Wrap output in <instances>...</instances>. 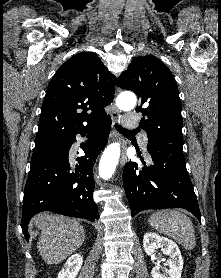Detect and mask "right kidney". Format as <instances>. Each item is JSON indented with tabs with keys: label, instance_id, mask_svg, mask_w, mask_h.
I'll use <instances>...</instances> for the list:
<instances>
[{
	"label": "right kidney",
	"instance_id": "ca27d5eb",
	"mask_svg": "<svg viewBox=\"0 0 221 278\" xmlns=\"http://www.w3.org/2000/svg\"><path fill=\"white\" fill-rule=\"evenodd\" d=\"M83 263V257L74 254L68 258L63 269L59 272L57 278H76Z\"/></svg>",
	"mask_w": 221,
	"mask_h": 278
}]
</instances>
